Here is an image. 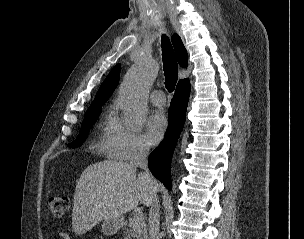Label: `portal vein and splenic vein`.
Segmentation results:
<instances>
[{"mask_svg": "<svg viewBox=\"0 0 304 239\" xmlns=\"http://www.w3.org/2000/svg\"><path fill=\"white\" fill-rule=\"evenodd\" d=\"M136 218L139 219V220H143L144 219V214L142 212H138L136 214Z\"/></svg>", "mask_w": 304, "mask_h": 239, "instance_id": "1", "label": "portal vein and splenic vein"}]
</instances>
